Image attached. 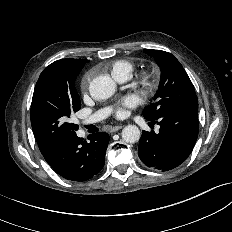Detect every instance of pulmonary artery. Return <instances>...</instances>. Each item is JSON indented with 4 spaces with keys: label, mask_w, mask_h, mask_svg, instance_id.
Listing matches in <instances>:
<instances>
[{
    "label": "pulmonary artery",
    "mask_w": 232,
    "mask_h": 232,
    "mask_svg": "<svg viewBox=\"0 0 232 232\" xmlns=\"http://www.w3.org/2000/svg\"><path fill=\"white\" fill-rule=\"evenodd\" d=\"M129 77H122L118 79L120 82H124L128 80ZM109 111L108 110H101L95 113L93 116H91L86 122L87 123H95L103 118H105L108 115Z\"/></svg>",
    "instance_id": "obj_1"
}]
</instances>
